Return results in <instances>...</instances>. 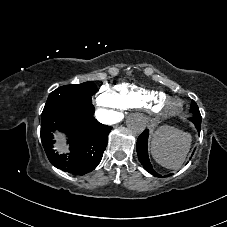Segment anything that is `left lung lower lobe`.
I'll return each instance as SVG.
<instances>
[{
  "mask_svg": "<svg viewBox=\"0 0 227 227\" xmlns=\"http://www.w3.org/2000/svg\"><path fill=\"white\" fill-rule=\"evenodd\" d=\"M198 133L200 134L201 129V123H195L193 122ZM148 133L149 131L146 129L143 131V133L138 137L137 140V154L140 163L143 165V167L152 175L156 177H161L152 167V164L150 163L149 157H148Z\"/></svg>",
  "mask_w": 227,
  "mask_h": 227,
  "instance_id": "obj_1",
  "label": "left lung lower lobe"
}]
</instances>
